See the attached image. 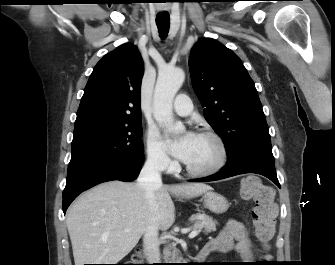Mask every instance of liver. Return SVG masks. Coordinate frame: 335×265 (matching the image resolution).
Segmentation results:
<instances>
[{
  "label": "liver",
  "instance_id": "obj_1",
  "mask_svg": "<svg viewBox=\"0 0 335 265\" xmlns=\"http://www.w3.org/2000/svg\"><path fill=\"white\" fill-rule=\"evenodd\" d=\"M211 189L202 183L162 185L155 189L151 209L137 183L110 181L95 186L67 212L75 265L117 264L136 246L152 219L162 230L172 226L175 207L170 194L192 198Z\"/></svg>",
  "mask_w": 335,
  "mask_h": 265
}]
</instances>
